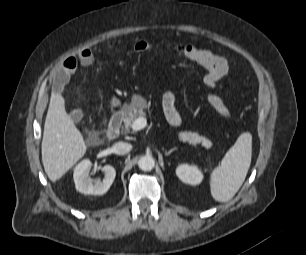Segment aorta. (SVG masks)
<instances>
[{
    "mask_svg": "<svg viewBox=\"0 0 306 255\" xmlns=\"http://www.w3.org/2000/svg\"><path fill=\"white\" fill-rule=\"evenodd\" d=\"M138 166L143 171H151L155 166V160L150 155L142 156L138 161Z\"/></svg>",
    "mask_w": 306,
    "mask_h": 255,
    "instance_id": "aorta-1",
    "label": "aorta"
}]
</instances>
